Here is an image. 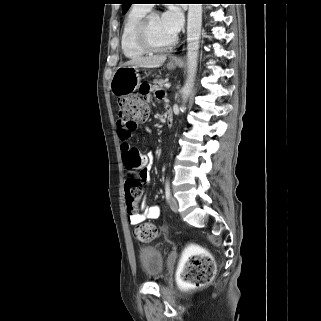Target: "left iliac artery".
Listing matches in <instances>:
<instances>
[{"label": "left iliac artery", "instance_id": "left-iliac-artery-1", "mask_svg": "<svg viewBox=\"0 0 321 321\" xmlns=\"http://www.w3.org/2000/svg\"><path fill=\"white\" fill-rule=\"evenodd\" d=\"M165 194H166V200L169 201L171 192H170V185L168 180L166 181Z\"/></svg>", "mask_w": 321, "mask_h": 321}]
</instances>
